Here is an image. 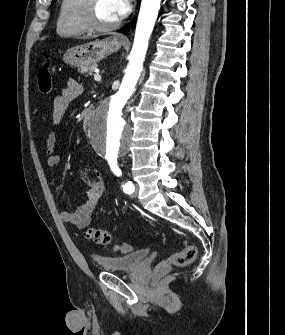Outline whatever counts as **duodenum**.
I'll return each mask as SVG.
<instances>
[{
	"instance_id": "duodenum-1",
	"label": "duodenum",
	"mask_w": 285,
	"mask_h": 335,
	"mask_svg": "<svg viewBox=\"0 0 285 335\" xmlns=\"http://www.w3.org/2000/svg\"><path fill=\"white\" fill-rule=\"evenodd\" d=\"M93 112H94L93 108H88V109L85 111V114H84V117H83V126H84V127H87V125H88V121H89V119L91 118Z\"/></svg>"
}]
</instances>
